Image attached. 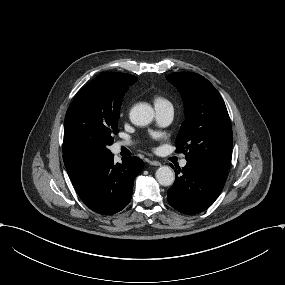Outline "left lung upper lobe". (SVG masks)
<instances>
[{
    "label": "left lung upper lobe",
    "mask_w": 285,
    "mask_h": 285,
    "mask_svg": "<svg viewBox=\"0 0 285 285\" xmlns=\"http://www.w3.org/2000/svg\"><path fill=\"white\" fill-rule=\"evenodd\" d=\"M181 93L185 120L176 138L177 152L189 162L228 170L232 156V129L223 99L203 76L175 72L166 76Z\"/></svg>",
    "instance_id": "5c2ea615"
}]
</instances>
